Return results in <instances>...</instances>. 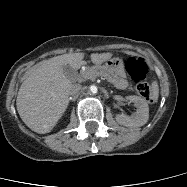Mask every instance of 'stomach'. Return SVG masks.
<instances>
[{"label":"stomach","mask_w":187,"mask_h":187,"mask_svg":"<svg viewBox=\"0 0 187 187\" xmlns=\"http://www.w3.org/2000/svg\"><path fill=\"white\" fill-rule=\"evenodd\" d=\"M106 68L117 82L126 77L124 63L120 58L109 59L106 63Z\"/></svg>","instance_id":"stomach-1"}]
</instances>
